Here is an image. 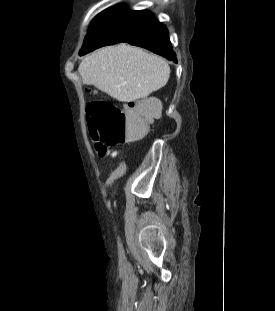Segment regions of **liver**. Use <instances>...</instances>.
Returning a JSON list of instances; mask_svg holds the SVG:
<instances>
[{
	"mask_svg": "<svg viewBox=\"0 0 275 311\" xmlns=\"http://www.w3.org/2000/svg\"><path fill=\"white\" fill-rule=\"evenodd\" d=\"M78 72L85 84L118 101L132 102L164 87L170 67L161 57L120 44L88 55L81 61Z\"/></svg>",
	"mask_w": 275,
	"mask_h": 311,
	"instance_id": "obj_1",
	"label": "liver"
}]
</instances>
